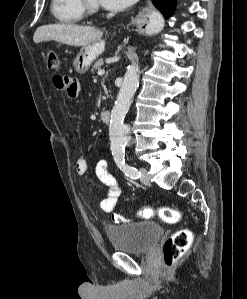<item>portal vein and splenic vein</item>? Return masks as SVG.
I'll return each instance as SVG.
<instances>
[{"label": "portal vein and splenic vein", "mask_w": 247, "mask_h": 299, "mask_svg": "<svg viewBox=\"0 0 247 299\" xmlns=\"http://www.w3.org/2000/svg\"><path fill=\"white\" fill-rule=\"evenodd\" d=\"M104 73H105L104 70H99V71H98V75H103Z\"/></svg>", "instance_id": "obj_1"}]
</instances>
